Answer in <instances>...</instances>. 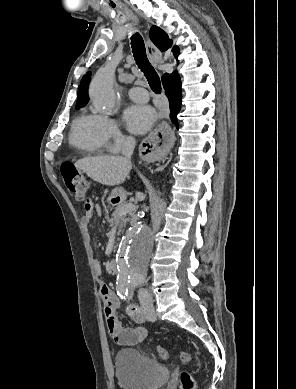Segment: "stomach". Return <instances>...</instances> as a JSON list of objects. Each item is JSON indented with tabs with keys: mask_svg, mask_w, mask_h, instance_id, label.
<instances>
[{
	"mask_svg": "<svg viewBox=\"0 0 296 389\" xmlns=\"http://www.w3.org/2000/svg\"><path fill=\"white\" fill-rule=\"evenodd\" d=\"M125 196V192L121 188H115L110 195V200L114 199H123Z\"/></svg>",
	"mask_w": 296,
	"mask_h": 389,
	"instance_id": "obj_1",
	"label": "stomach"
}]
</instances>
